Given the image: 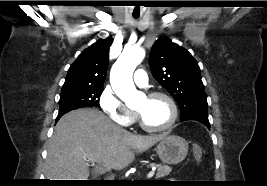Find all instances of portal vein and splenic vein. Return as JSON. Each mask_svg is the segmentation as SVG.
<instances>
[{"label":"portal vein and splenic vein","mask_w":267,"mask_h":186,"mask_svg":"<svg viewBox=\"0 0 267 186\" xmlns=\"http://www.w3.org/2000/svg\"><path fill=\"white\" fill-rule=\"evenodd\" d=\"M88 161H93V158H88ZM154 175V171H149L147 174V178H151Z\"/></svg>","instance_id":"obj_1"}]
</instances>
